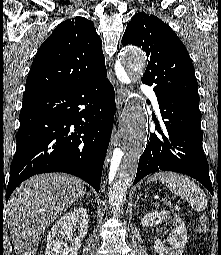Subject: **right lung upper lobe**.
I'll list each match as a JSON object with an SVG mask.
<instances>
[{
  "mask_svg": "<svg viewBox=\"0 0 221 255\" xmlns=\"http://www.w3.org/2000/svg\"><path fill=\"white\" fill-rule=\"evenodd\" d=\"M104 72L102 41L94 23L79 16L68 19L40 46L24 98L75 86Z\"/></svg>",
  "mask_w": 221,
  "mask_h": 255,
  "instance_id": "obj_1",
  "label": "right lung upper lobe"
}]
</instances>
